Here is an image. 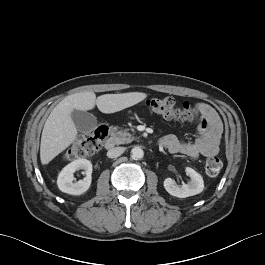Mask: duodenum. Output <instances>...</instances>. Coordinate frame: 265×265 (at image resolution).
<instances>
[{
  "mask_svg": "<svg viewBox=\"0 0 265 265\" xmlns=\"http://www.w3.org/2000/svg\"><path fill=\"white\" fill-rule=\"evenodd\" d=\"M116 145V140L114 137H109L106 141H105V148L107 150H112Z\"/></svg>",
  "mask_w": 265,
  "mask_h": 265,
  "instance_id": "410a0bca",
  "label": "duodenum"
}]
</instances>
